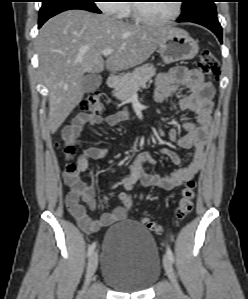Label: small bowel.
<instances>
[{
    "label": "small bowel",
    "instance_id": "small-bowel-1",
    "mask_svg": "<svg viewBox=\"0 0 248 299\" xmlns=\"http://www.w3.org/2000/svg\"><path fill=\"white\" fill-rule=\"evenodd\" d=\"M182 88H186L188 93L179 97L178 107L182 111L194 113L196 120L195 122L189 120L184 122L183 127L186 131L184 136L178 137L174 129L169 130V136L172 141L177 142L180 148L193 150L191 159L173 173L161 175L150 173L147 170V167L154 163V153L152 151L137 154L129 175L119 183L123 187V191L118 195L122 203L129 198V192L138 180L148 187L157 186L165 190H172L191 180L202 168L205 161V146L210 136L213 87L205 80L201 71L176 67L158 77L154 93L155 101L160 104L172 94L178 93ZM123 117L124 113L121 112L112 114L105 120L98 115L79 114L64 129L65 140L67 143L78 140L86 125L105 123L109 127H116ZM159 152L168 156L174 164L180 165L182 163L180 156L169 149L163 148ZM106 155L107 150L104 148L92 145L85 146L77 161L78 172L82 174L87 170L90 158L100 159ZM83 185V197L91 207H94L96 204L93 200L95 189L88 181L83 182ZM126 214L127 212L122 204L115 207L112 212L104 213L97 219L89 217L86 213L83 216H73L83 231L95 233L101 228L123 220Z\"/></svg>",
    "mask_w": 248,
    "mask_h": 299
}]
</instances>
